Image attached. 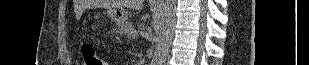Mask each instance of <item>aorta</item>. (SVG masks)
<instances>
[{"instance_id":"obj_1","label":"aorta","mask_w":309,"mask_h":65,"mask_svg":"<svg viewBox=\"0 0 309 65\" xmlns=\"http://www.w3.org/2000/svg\"><path fill=\"white\" fill-rule=\"evenodd\" d=\"M176 23V0H161V8L156 19L158 36L151 65H164L169 55Z\"/></svg>"}]
</instances>
